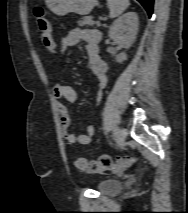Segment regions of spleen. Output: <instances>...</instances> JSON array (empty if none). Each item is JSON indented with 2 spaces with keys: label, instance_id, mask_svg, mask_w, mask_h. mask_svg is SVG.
<instances>
[{
  "label": "spleen",
  "instance_id": "1",
  "mask_svg": "<svg viewBox=\"0 0 188 213\" xmlns=\"http://www.w3.org/2000/svg\"><path fill=\"white\" fill-rule=\"evenodd\" d=\"M110 17L115 18L122 14L130 5L129 0H107Z\"/></svg>",
  "mask_w": 188,
  "mask_h": 213
}]
</instances>
